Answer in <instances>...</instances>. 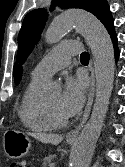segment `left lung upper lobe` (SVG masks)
Wrapping results in <instances>:
<instances>
[{
	"label": "left lung upper lobe",
	"instance_id": "left-lung-upper-lobe-1",
	"mask_svg": "<svg viewBox=\"0 0 125 167\" xmlns=\"http://www.w3.org/2000/svg\"><path fill=\"white\" fill-rule=\"evenodd\" d=\"M52 5H59L62 9H84L94 14L105 27L113 22L112 14L106 0H53ZM46 20L47 13L45 9L33 10L25 16L18 35L17 59L21 63L26 60L39 40Z\"/></svg>",
	"mask_w": 125,
	"mask_h": 167
}]
</instances>
